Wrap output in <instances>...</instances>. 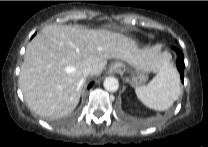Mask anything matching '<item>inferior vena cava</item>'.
I'll list each match as a JSON object with an SVG mask.
<instances>
[{"instance_id": "1", "label": "inferior vena cava", "mask_w": 208, "mask_h": 147, "mask_svg": "<svg viewBox=\"0 0 208 147\" xmlns=\"http://www.w3.org/2000/svg\"><path fill=\"white\" fill-rule=\"evenodd\" d=\"M93 73V68L90 65H87L83 68V74L84 76H88L89 74Z\"/></svg>"}]
</instances>
